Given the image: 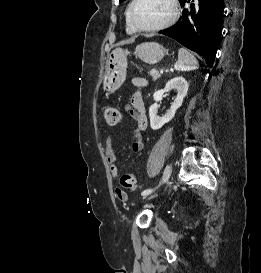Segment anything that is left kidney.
Instances as JSON below:
<instances>
[{
    "instance_id": "5707ae66",
    "label": "left kidney",
    "mask_w": 261,
    "mask_h": 273,
    "mask_svg": "<svg viewBox=\"0 0 261 273\" xmlns=\"http://www.w3.org/2000/svg\"><path fill=\"white\" fill-rule=\"evenodd\" d=\"M172 89L177 90V96L175 97L174 102L172 103L170 109L167 113L159 117L157 115L158 112V104L160 100H162L163 94L169 92ZM188 91V83L183 77H175L168 81L164 89L158 90L154 93L153 98L155 103L149 108V117H150V126L153 130H158L164 126V124L168 123L173 119L175 113L178 108L181 107L183 103V99L186 96Z\"/></svg>"
}]
</instances>
